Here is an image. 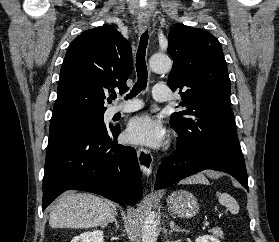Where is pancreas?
<instances>
[{
    "label": "pancreas",
    "mask_w": 279,
    "mask_h": 242,
    "mask_svg": "<svg viewBox=\"0 0 279 242\" xmlns=\"http://www.w3.org/2000/svg\"><path fill=\"white\" fill-rule=\"evenodd\" d=\"M213 234H215L218 237H223V231H221V229H213L212 230Z\"/></svg>",
    "instance_id": "obj_1"
}]
</instances>
